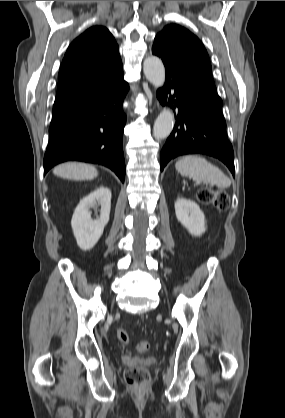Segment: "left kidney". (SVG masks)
<instances>
[{
  "mask_svg": "<svg viewBox=\"0 0 285 418\" xmlns=\"http://www.w3.org/2000/svg\"><path fill=\"white\" fill-rule=\"evenodd\" d=\"M175 213L178 221L191 235L200 236L206 231L205 216L194 201L185 198L177 199Z\"/></svg>",
  "mask_w": 285,
  "mask_h": 418,
  "instance_id": "obj_1",
  "label": "left kidney"
}]
</instances>
